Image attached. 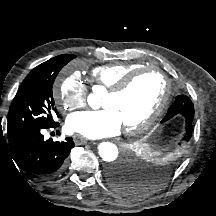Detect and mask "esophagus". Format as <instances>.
Here are the masks:
<instances>
[{"label": "esophagus", "mask_w": 216, "mask_h": 216, "mask_svg": "<svg viewBox=\"0 0 216 216\" xmlns=\"http://www.w3.org/2000/svg\"><path fill=\"white\" fill-rule=\"evenodd\" d=\"M73 141L77 145H82V144H85L87 142V139L80 134H74L73 135Z\"/></svg>", "instance_id": "1"}]
</instances>
